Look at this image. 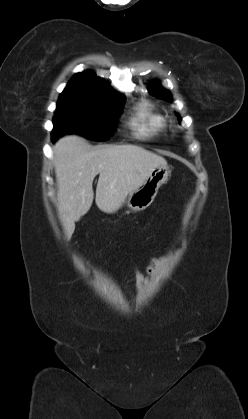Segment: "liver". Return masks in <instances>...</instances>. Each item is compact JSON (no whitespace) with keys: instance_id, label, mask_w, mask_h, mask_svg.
Here are the masks:
<instances>
[{"instance_id":"1","label":"liver","mask_w":248,"mask_h":419,"mask_svg":"<svg viewBox=\"0 0 248 419\" xmlns=\"http://www.w3.org/2000/svg\"><path fill=\"white\" fill-rule=\"evenodd\" d=\"M53 154L57 207L67 240L75 230V222L92 205V183L97 174L96 205L105 213H114L155 168L167 164L162 156L134 145L91 149L76 135L60 138L53 146Z\"/></svg>"}]
</instances>
